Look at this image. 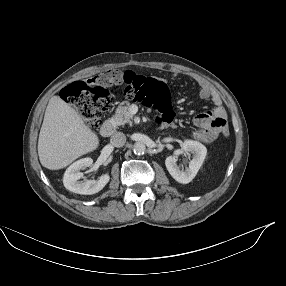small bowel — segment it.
I'll list each match as a JSON object with an SVG mask.
<instances>
[{"label":"small bowel","mask_w":286,"mask_h":286,"mask_svg":"<svg viewBox=\"0 0 286 286\" xmlns=\"http://www.w3.org/2000/svg\"><path fill=\"white\" fill-rule=\"evenodd\" d=\"M174 76H178V74L175 73ZM120 80V78L117 79V81ZM199 95L202 99H210L215 107L213 109L204 110L200 112L197 116L213 113L218 115L226 124V112L222 106V99L220 95L215 90H213L210 85L204 82H201L199 84ZM167 124L168 122H164L162 126H166Z\"/></svg>","instance_id":"obj_1"}]
</instances>
